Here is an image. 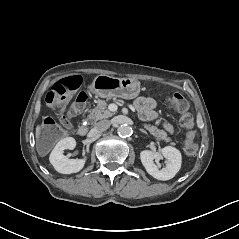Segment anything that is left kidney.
Masks as SVG:
<instances>
[{
    "mask_svg": "<svg viewBox=\"0 0 239 239\" xmlns=\"http://www.w3.org/2000/svg\"><path fill=\"white\" fill-rule=\"evenodd\" d=\"M160 156L168 161L166 168L162 170H159L158 166L154 164V161H157ZM140 158L146 172L153 178L161 181L172 179L179 171L181 165V155L173 147L145 149L140 152Z\"/></svg>",
    "mask_w": 239,
    "mask_h": 239,
    "instance_id": "1",
    "label": "left kidney"
}]
</instances>
